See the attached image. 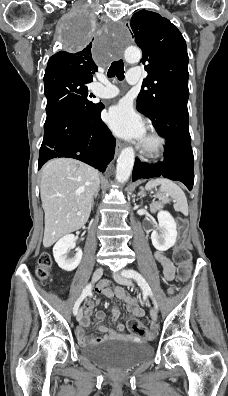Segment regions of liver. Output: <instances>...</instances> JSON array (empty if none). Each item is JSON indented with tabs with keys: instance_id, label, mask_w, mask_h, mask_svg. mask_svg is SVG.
<instances>
[{
	"instance_id": "6515ba94",
	"label": "liver",
	"mask_w": 228,
	"mask_h": 396,
	"mask_svg": "<svg viewBox=\"0 0 228 396\" xmlns=\"http://www.w3.org/2000/svg\"><path fill=\"white\" fill-rule=\"evenodd\" d=\"M99 185L98 171L75 159L57 158L43 167L40 196L45 213V248L86 224Z\"/></svg>"
}]
</instances>
